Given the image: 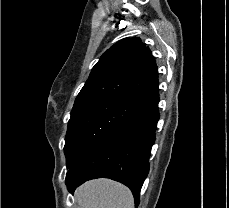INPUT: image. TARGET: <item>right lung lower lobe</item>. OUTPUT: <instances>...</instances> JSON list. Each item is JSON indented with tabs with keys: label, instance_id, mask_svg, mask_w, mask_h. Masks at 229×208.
<instances>
[{
	"label": "right lung lower lobe",
	"instance_id": "obj_1",
	"mask_svg": "<svg viewBox=\"0 0 229 208\" xmlns=\"http://www.w3.org/2000/svg\"><path fill=\"white\" fill-rule=\"evenodd\" d=\"M159 98L119 128L94 144L67 173L69 192L94 178H110L123 183L133 193L136 206L149 172L151 148L159 120Z\"/></svg>",
	"mask_w": 229,
	"mask_h": 208
}]
</instances>
